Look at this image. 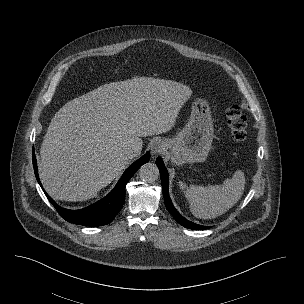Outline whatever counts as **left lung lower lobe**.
Masks as SVG:
<instances>
[{"label": "left lung lower lobe", "mask_w": 304, "mask_h": 304, "mask_svg": "<svg viewBox=\"0 0 304 304\" xmlns=\"http://www.w3.org/2000/svg\"><path fill=\"white\" fill-rule=\"evenodd\" d=\"M156 165L159 168L160 171V177H161V183H162V188H163V195H164V202L166 205V208L168 211L171 213V215L175 218V220L181 224L182 226L189 228V229H194V230H203V229H208L210 226H202L196 223H193L186 218H184L173 206L170 196H169V190H168V171L166 167L164 166V163L160 157L156 159Z\"/></svg>", "instance_id": "left-lung-lower-lobe-1"}]
</instances>
